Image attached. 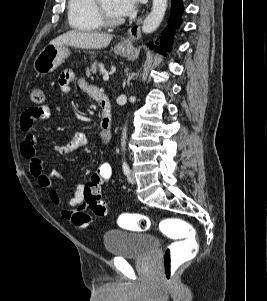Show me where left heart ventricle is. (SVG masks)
I'll list each match as a JSON object with an SVG mask.
<instances>
[{"instance_id": "1", "label": "left heart ventricle", "mask_w": 267, "mask_h": 301, "mask_svg": "<svg viewBox=\"0 0 267 301\" xmlns=\"http://www.w3.org/2000/svg\"><path fill=\"white\" fill-rule=\"evenodd\" d=\"M101 5L105 12L114 19H118L119 17L114 13L113 7H112V0H100Z\"/></svg>"}]
</instances>
